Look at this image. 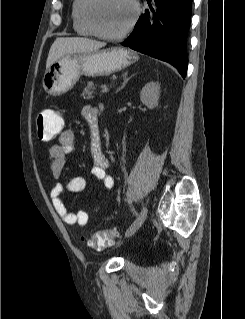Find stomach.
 Masks as SVG:
<instances>
[{"label": "stomach", "mask_w": 245, "mask_h": 319, "mask_svg": "<svg viewBox=\"0 0 245 319\" xmlns=\"http://www.w3.org/2000/svg\"><path fill=\"white\" fill-rule=\"evenodd\" d=\"M138 57L127 49L111 48L88 53H70L53 62L46 69L42 84L52 96L71 90L81 75H108L121 70Z\"/></svg>", "instance_id": "0dacf381"}]
</instances>
